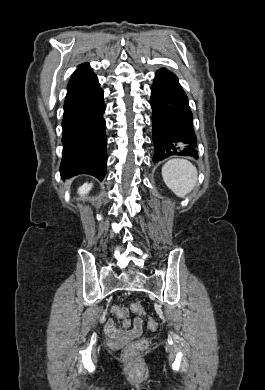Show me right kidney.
Segmentation results:
<instances>
[{
    "mask_svg": "<svg viewBox=\"0 0 265 390\" xmlns=\"http://www.w3.org/2000/svg\"><path fill=\"white\" fill-rule=\"evenodd\" d=\"M91 188H92V183H85L78 189V193L80 195L87 194L91 190Z\"/></svg>",
    "mask_w": 265,
    "mask_h": 390,
    "instance_id": "obj_1",
    "label": "right kidney"
}]
</instances>
